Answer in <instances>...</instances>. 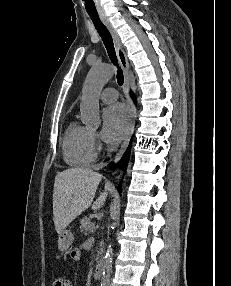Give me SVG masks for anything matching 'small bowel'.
Wrapping results in <instances>:
<instances>
[{
  "label": "small bowel",
  "mask_w": 231,
  "mask_h": 286,
  "mask_svg": "<svg viewBox=\"0 0 231 286\" xmlns=\"http://www.w3.org/2000/svg\"><path fill=\"white\" fill-rule=\"evenodd\" d=\"M70 256H71V258H72L73 260H79L80 257H81V252H80L79 249L74 248V249L71 250Z\"/></svg>",
  "instance_id": "1"
}]
</instances>
